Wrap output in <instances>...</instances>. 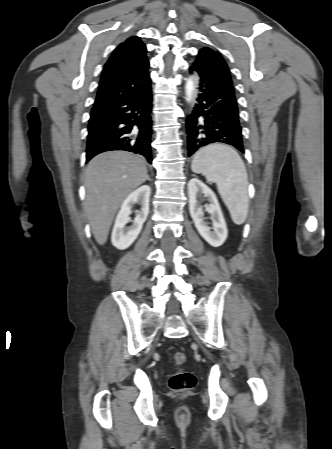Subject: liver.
Segmentation results:
<instances>
[{
  "mask_svg": "<svg viewBox=\"0 0 332 449\" xmlns=\"http://www.w3.org/2000/svg\"><path fill=\"white\" fill-rule=\"evenodd\" d=\"M147 176L145 161L125 151L105 152L88 163L84 212L98 244H105L121 203Z\"/></svg>",
  "mask_w": 332,
  "mask_h": 449,
  "instance_id": "6515ba94",
  "label": "liver"
}]
</instances>
